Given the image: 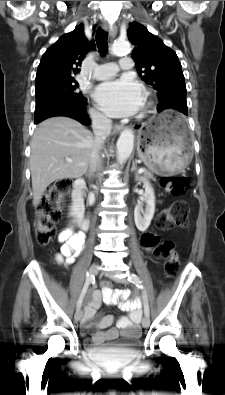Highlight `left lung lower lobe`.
<instances>
[{"instance_id": "left-lung-lower-lobe-1", "label": "left lung lower lobe", "mask_w": 225, "mask_h": 395, "mask_svg": "<svg viewBox=\"0 0 225 395\" xmlns=\"http://www.w3.org/2000/svg\"><path fill=\"white\" fill-rule=\"evenodd\" d=\"M165 109H175V110L182 112L181 110H183V107L176 102H167V103H163V104L162 103L158 104V107H157L158 112H162ZM185 115H188V113ZM136 128H139V126H136Z\"/></svg>"}]
</instances>
